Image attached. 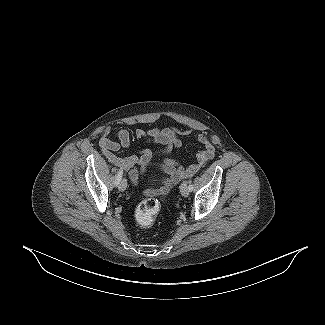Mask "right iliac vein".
Segmentation results:
<instances>
[{"instance_id": "1", "label": "right iliac vein", "mask_w": 325, "mask_h": 325, "mask_svg": "<svg viewBox=\"0 0 325 325\" xmlns=\"http://www.w3.org/2000/svg\"><path fill=\"white\" fill-rule=\"evenodd\" d=\"M118 188L120 191H125L127 188V180L125 178H123L118 185Z\"/></svg>"}]
</instances>
